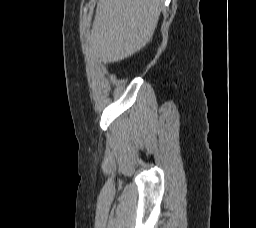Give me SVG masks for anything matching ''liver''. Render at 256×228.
Instances as JSON below:
<instances>
[{
    "mask_svg": "<svg viewBox=\"0 0 256 228\" xmlns=\"http://www.w3.org/2000/svg\"><path fill=\"white\" fill-rule=\"evenodd\" d=\"M163 0H99L89 38L104 64L121 61L151 40Z\"/></svg>",
    "mask_w": 256,
    "mask_h": 228,
    "instance_id": "obj_1",
    "label": "liver"
}]
</instances>
